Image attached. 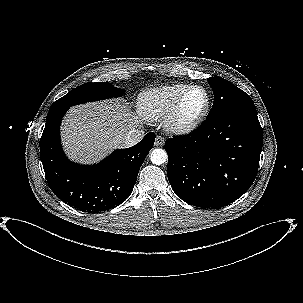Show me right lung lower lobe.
<instances>
[{
	"label": "right lung lower lobe",
	"instance_id": "right-lung-lower-lobe-1",
	"mask_svg": "<svg viewBox=\"0 0 303 303\" xmlns=\"http://www.w3.org/2000/svg\"><path fill=\"white\" fill-rule=\"evenodd\" d=\"M68 109L49 110L40 139L48 186L62 201L83 212L98 213L121 204L133 191L155 134L148 133L133 147L115 150L99 164H75L67 159L60 142V124Z\"/></svg>",
	"mask_w": 303,
	"mask_h": 303
}]
</instances>
